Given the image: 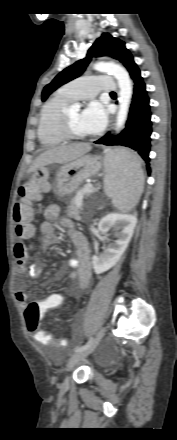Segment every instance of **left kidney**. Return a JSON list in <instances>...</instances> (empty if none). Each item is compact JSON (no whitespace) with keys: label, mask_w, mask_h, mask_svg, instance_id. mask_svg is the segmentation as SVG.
<instances>
[{"label":"left kidney","mask_w":177,"mask_h":440,"mask_svg":"<svg viewBox=\"0 0 177 440\" xmlns=\"http://www.w3.org/2000/svg\"><path fill=\"white\" fill-rule=\"evenodd\" d=\"M135 224L133 217L118 213H110L101 219L99 228L102 233L106 234L109 229L113 228L117 239L104 250L100 257L97 255L92 257L96 274L109 270L120 260L131 240Z\"/></svg>","instance_id":"obj_1"}]
</instances>
